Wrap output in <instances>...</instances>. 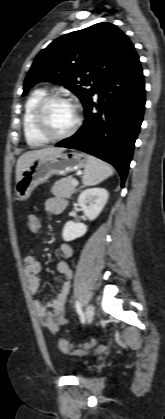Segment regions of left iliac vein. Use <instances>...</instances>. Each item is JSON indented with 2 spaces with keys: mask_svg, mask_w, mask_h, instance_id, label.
I'll return each mask as SVG.
<instances>
[{
  "mask_svg": "<svg viewBox=\"0 0 165 419\" xmlns=\"http://www.w3.org/2000/svg\"><path fill=\"white\" fill-rule=\"evenodd\" d=\"M85 317L88 324H90L94 319V307L91 304L87 305L86 307Z\"/></svg>",
  "mask_w": 165,
  "mask_h": 419,
  "instance_id": "left-iliac-vein-1",
  "label": "left iliac vein"
}]
</instances>
